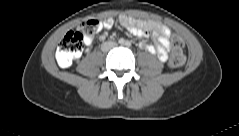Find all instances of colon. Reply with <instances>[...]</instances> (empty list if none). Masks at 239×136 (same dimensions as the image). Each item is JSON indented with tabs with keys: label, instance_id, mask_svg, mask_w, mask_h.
<instances>
[{
	"label": "colon",
	"instance_id": "obj_1",
	"mask_svg": "<svg viewBox=\"0 0 239 136\" xmlns=\"http://www.w3.org/2000/svg\"><path fill=\"white\" fill-rule=\"evenodd\" d=\"M99 22L95 19L83 22L78 30L68 32L60 41L56 60L60 67L68 68L72 65L75 58L79 56L83 49L84 39L92 38L99 30ZM173 52L169 58L171 68H179L184 64V41L178 35H173L171 39Z\"/></svg>",
	"mask_w": 239,
	"mask_h": 136
}]
</instances>
